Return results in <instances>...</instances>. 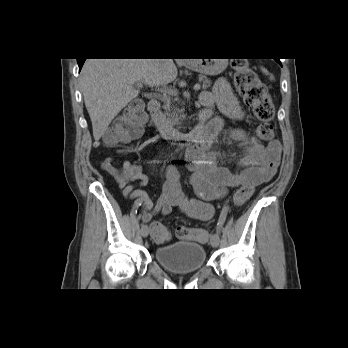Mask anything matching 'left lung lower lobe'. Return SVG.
I'll list each match as a JSON object with an SVG mask.
<instances>
[{
    "mask_svg": "<svg viewBox=\"0 0 348 348\" xmlns=\"http://www.w3.org/2000/svg\"><path fill=\"white\" fill-rule=\"evenodd\" d=\"M276 61H277V62H278L280 65H281V62H280V60H279V59H277Z\"/></svg>",
    "mask_w": 348,
    "mask_h": 348,
    "instance_id": "obj_1",
    "label": "left lung lower lobe"
}]
</instances>
